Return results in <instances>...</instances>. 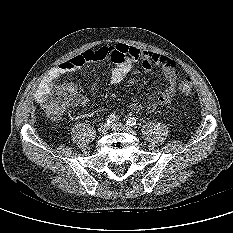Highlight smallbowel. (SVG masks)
<instances>
[{
	"label": "small bowel",
	"mask_w": 233,
	"mask_h": 233,
	"mask_svg": "<svg viewBox=\"0 0 233 233\" xmlns=\"http://www.w3.org/2000/svg\"><path fill=\"white\" fill-rule=\"evenodd\" d=\"M107 59L115 64L111 70V83L113 85L121 83L127 77L133 63L136 61H141L143 68L147 71H150L154 65L162 68L167 85L164 89L158 90L156 103L147 106V110L154 111L157 106L166 105L176 97L179 86V71L172 59L151 51L140 50L136 47L118 43L114 46L87 49L59 64L54 68L49 78L40 85L36 93V99L43 103L51 94L54 82L63 74L76 71L86 63ZM73 102L85 105L89 100L85 96L76 95ZM131 106L134 110H141L144 107L142 103L137 101L133 102Z\"/></svg>",
	"instance_id": "obj_1"
}]
</instances>
